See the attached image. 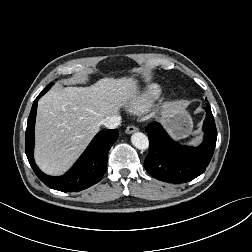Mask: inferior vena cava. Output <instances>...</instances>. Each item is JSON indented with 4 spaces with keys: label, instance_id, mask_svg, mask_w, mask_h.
Returning <instances> with one entry per match:
<instances>
[{
    "label": "inferior vena cava",
    "instance_id": "602c4592",
    "mask_svg": "<svg viewBox=\"0 0 252 252\" xmlns=\"http://www.w3.org/2000/svg\"><path fill=\"white\" fill-rule=\"evenodd\" d=\"M121 123V117L117 115L108 116L101 121V124L108 129L117 128Z\"/></svg>",
    "mask_w": 252,
    "mask_h": 252
}]
</instances>
